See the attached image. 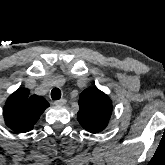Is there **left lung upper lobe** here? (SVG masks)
I'll use <instances>...</instances> for the list:
<instances>
[{"label":"left lung upper lobe","instance_id":"1","mask_svg":"<svg viewBox=\"0 0 165 165\" xmlns=\"http://www.w3.org/2000/svg\"><path fill=\"white\" fill-rule=\"evenodd\" d=\"M77 119L81 126L91 133L103 131L112 114L110 98L97 88L85 89L79 98Z\"/></svg>","mask_w":165,"mask_h":165}]
</instances>
